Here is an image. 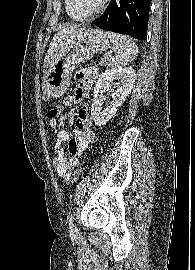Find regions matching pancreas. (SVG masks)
<instances>
[{
	"instance_id": "cf45deb5",
	"label": "pancreas",
	"mask_w": 195,
	"mask_h": 270,
	"mask_svg": "<svg viewBox=\"0 0 195 270\" xmlns=\"http://www.w3.org/2000/svg\"><path fill=\"white\" fill-rule=\"evenodd\" d=\"M100 64L108 67L111 65V59L104 57L101 59Z\"/></svg>"
}]
</instances>
